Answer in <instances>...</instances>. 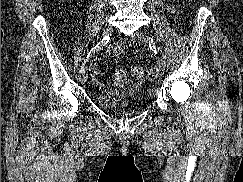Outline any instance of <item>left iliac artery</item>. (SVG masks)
<instances>
[{
    "label": "left iliac artery",
    "mask_w": 243,
    "mask_h": 182,
    "mask_svg": "<svg viewBox=\"0 0 243 182\" xmlns=\"http://www.w3.org/2000/svg\"><path fill=\"white\" fill-rule=\"evenodd\" d=\"M147 40H148V42H149V47H150V49H151L155 54H157V49H156L155 42H154L153 38L150 37V36H148V37H147Z\"/></svg>",
    "instance_id": "1"
}]
</instances>
